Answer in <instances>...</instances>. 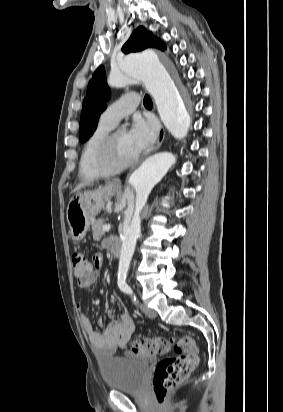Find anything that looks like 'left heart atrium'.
I'll return each instance as SVG.
<instances>
[{"mask_svg": "<svg viewBox=\"0 0 283 412\" xmlns=\"http://www.w3.org/2000/svg\"><path fill=\"white\" fill-rule=\"evenodd\" d=\"M157 126L154 119L136 118L128 132L131 144L137 154L153 144L156 138Z\"/></svg>", "mask_w": 283, "mask_h": 412, "instance_id": "obj_1", "label": "left heart atrium"}]
</instances>
